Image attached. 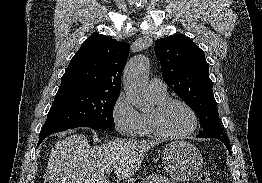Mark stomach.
<instances>
[{"label":"stomach","instance_id":"stomach-1","mask_svg":"<svg viewBox=\"0 0 262 183\" xmlns=\"http://www.w3.org/2000/svg\"><path fill=\"white\" fill-rule=\"evenodd\" d=\"M162 162L166 172L175 180L189 181L202 169V154L193 144L175 140L163 150Z\"/></svg>","mask_w":262,"mask_h":183}]
</instances>
